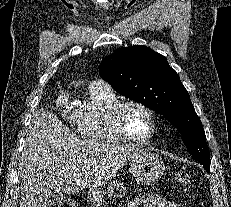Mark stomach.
<instances>
[{
	"instance_id": "1",
	"label": "stomach",
	"mask_w": 231,
	"mask_h": 207,
	"mask_svg": "<svg viewBox=\"0 0 231 207\" xmlns=\"http://www.w3.org/2000/svg\"><path fill=\"white\" fill-rule=\"evenodd\" d=\"M130 172L136 182L142 185L156 183L165 171V165L161 157L148 150L140 149L130 157ZM127 192L125 183L114 180L109 183L107 192L91 191L88 200L91 207H102L105 203L106 194L111 200L121 198Z\"/></svg>"
}]
</instances>
